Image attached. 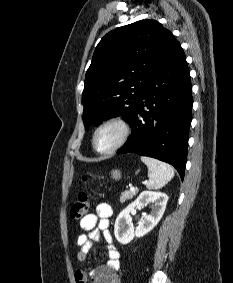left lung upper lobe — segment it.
Returning a JSON list of instances; mask_svg holds the SVG:
<instances>
[{"label": "left lung upper lobe", "mask_w": 233, "mask_h": 283, "mask_svg": "<svg viewBox=\"0 0 233 283\" xmlns=\"http://www.w3.org/2000/svg\"><path fill=\"white\" fill-rule=\"evenodd\" d=\"M178 43L155 20H141L107 33L97 45L82 93L85 129L121 115L130 122L151 74Z\"/></svg>", "instance_id": "obj_1"}]
</instances>
